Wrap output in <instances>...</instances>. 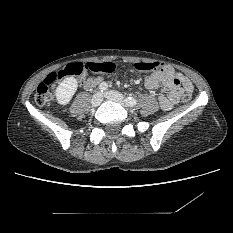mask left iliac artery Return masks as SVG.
<instances>
[{"label":"left iliac artery","instance_id":"44dca946","mask_svg":"<svg viewBox=\"0 0 233 233\" xmlns=\"http://www.w3.org/2000/svg\"><path fill=\"white\" fill-rule=\"evenodd\" d=\"M125 102H126V104H127L128 106H134V105L137 104V100H136L135 98H133V97H127V98L125 99Z\"/></svg>","mask_w":233,"mask_h":233}]
</instances>
